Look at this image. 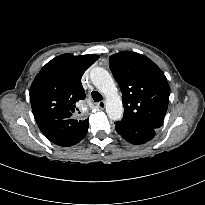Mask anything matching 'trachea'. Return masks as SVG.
I'll return each mask as SVG.
<instances>
[{
  "instance_id": "trachea-1",
  "label": "trachea",
  "mask_w": 205,
  "mask_h": 205,
  "mask_svg": "<svg viewBox=\"0 0 205 205\" xmlns=\"http://www.w3.org/2000/svg\"><path fill=\"white\" fill-rule=\"evenodd\" d=\"M91 95H92L94 102H99L103 99L102 95L97 91H93Z\"/></svg>"
}]
</instances>
